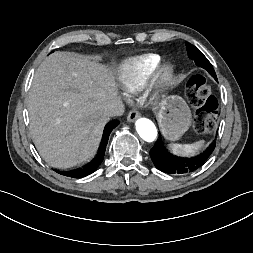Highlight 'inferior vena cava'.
Instances as JSON below:
<instances>
[{"instance_id":"obj_1","label":"inferior vena cava","mask_w":253,"mask_h":253,"mask_svg":"<svg viewBox=\"0 0 253 253\" xmlns=\"http://www.w3.org/2000/svg\"><path fill=\"white\" fill-rule=\"evenodd\" d=\"M124 112V104L119 97L118 99L109 102L104 107V115L106 117L118 116L122 115Z\"/></svg>"}]
</instances>
